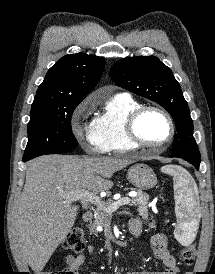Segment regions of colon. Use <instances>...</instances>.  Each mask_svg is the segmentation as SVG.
Listing matches in <instances>:
<instances>
[{
    "instance_id": "colon-1",
    "label": "colon",
    "mask_w": 215,
    "mask_h": 274,
    "mask_svg": "<svg viewBox=\"0 0 215 274\" xmlns=\"http://www.w3.org/2000/svg\"><path fill=\"white\" fill-rule=\"evenodd\" d=\"M83 247H84L83 230L81 228L72 229L67 234L63 242V248L73 252H78V251H81ZM181 257L185 265L187 266L193 265L196 258L195 246L191 245V246L185 247L181 252ZM42 274H70V272L65 269L61 271L44 272Z\"/></svg>"
}]
</instances>
